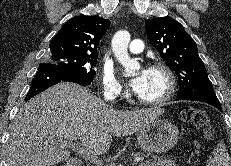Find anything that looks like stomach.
I'll return each mask as SVG.
<instances>
[{"mask_svg": "<svg viewBox=\"0 0 231 166\" xmlns=\"http://www.w3.org/2000/svg\"><path fill=\"white\" fill-rule=\"evenodd\" d=\"M179 138L178 128L168 120L155 119L137 131L138 145L149 153H165Z\"/></svg>", "mask_w": 231, "mask_h": 166, "instance_id": "obj_1", "label": "stomach"}]
</instances>
